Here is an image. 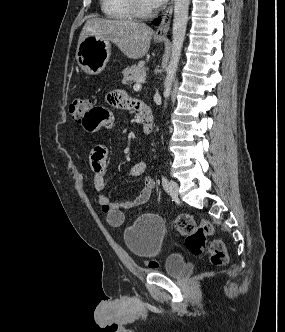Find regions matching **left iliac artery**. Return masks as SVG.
<instances>
[{"label":"left iliac artery","instance_id":"left-iliac-artery-1","mask_svg":"<svg viewBox=\"0 0 285 332\" xmlns=\"http://www.w3.org/2000/svg\"><path fill=\"white\" fill-rule=\"evenodd\" d=\"M161 180H162V186H163L164 190L168 191L169 184H168V180H167L166 176H162Z\"/></svg>","mask_w":285,"mask_h":332}]
</instances>
